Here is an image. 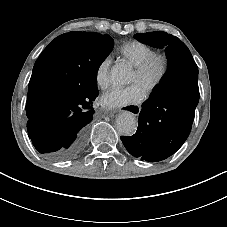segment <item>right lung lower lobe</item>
<instances>
[{
	"mask_svg": "<svg viewBox=\"0 0 227 227\" xmlns=\"http://www.w3.org/2000/svg\"><path fill=\"white\" fill-rule=\"evenodd\" d=\"M98 91L85 95L62 94L50 100L27 130L34 147L51 160L65 161L77 156L86 141L93 119L92 102Z\"/></svg>",
	"mask_w": 227,
	"mask_h": 227,
	"instance_id": "98d812e1",
	"label": "right lung lower lobe"
}]
</instances>
